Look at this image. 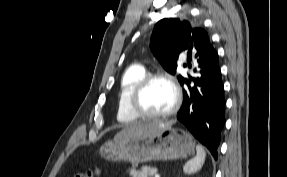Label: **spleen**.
Here are the masks:
<instances>
[{
	"label": "spleen",
	"mask_w": 287,
	"mask_h": 177,
	"mask_svg": "<svg viewBox=\"0 0 287 177\" xmlns=\"http://www.w3.org/2000/svg\"><path fill=\"white\" fill-rule=\"evenodd\" d=\"M196 157L186 162L183 167V172L186 174H192L200 170L205 162L206 152L201 145L196 147Z\"/></svg>",
	"instance_id": "spleen-1"
}]
</instances>
